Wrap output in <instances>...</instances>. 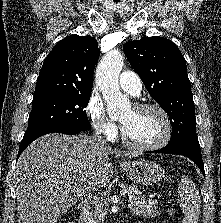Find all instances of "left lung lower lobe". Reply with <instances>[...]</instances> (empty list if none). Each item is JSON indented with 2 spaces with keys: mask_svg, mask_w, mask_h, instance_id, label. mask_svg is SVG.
Instances as JSON below:
<instances>
[{
  "mask_svg": "<svg viewBox=\"0 0 221 223\" xmlns=\"http://www.w3.org/2000/svg\"><path fill=\"white\" fill-rule=\"evenodd\" d=\"M151 152L186 156L196 163V165L201 170L202 174L205 176L201 149L198 142H184L175 145H167L166 147L160 150H155Z\"/></svg>",
  "mask_w": 221,
  "mask_h": 223,
  "instance_id": "obj_1",
  "label": "left lung lower lobe"
}]
</instances>
